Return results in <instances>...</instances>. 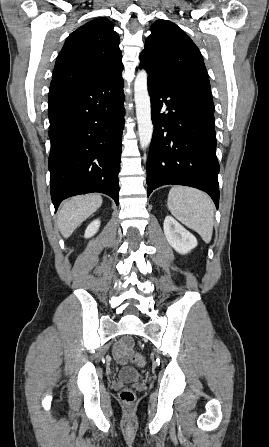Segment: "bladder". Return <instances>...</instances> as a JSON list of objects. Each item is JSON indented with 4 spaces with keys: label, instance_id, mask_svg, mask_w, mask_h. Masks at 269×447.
<instances>
[{
    "label": "bladder",
    "instance_id": "1",
    "mask_svg": "<svg viewBox=\"0 0 269 447\" xmlns=\"http://www.w3.org/2000/svg\"><path fill=\"white\" fill-rule=\"evenodd\" d=\"M119 378L126 381H135L139 379V372L136 368L131 366H124L121 368Z\"/></svg>",
    "mask_w": 269,
    "mask_h": 447
}]
</instances>
